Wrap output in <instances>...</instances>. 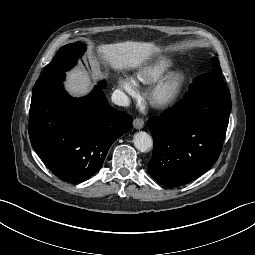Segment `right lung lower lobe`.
Returning a JSON list of instances; mask_svg holds the SVG:
<instances>
[{
    "label": "right lung lower lobe",
    "mask_w": 255,
    "mask_h": 255,
    "mask_svg": "<svg viewBox=\"0 0 255 255\" xmlns=\"http://www.w3.org/2000/svg\"><path fill=\"white\" fill-rule=\"evenodd\" d=\"M64 71L42 73L32 91L29 136L33 149L58 178L88 180L103 165L112 143L132 125V117L106 101L101 86L73 98Z\"/></svg>",
    "instance_id": "1"
}]
</instances>
